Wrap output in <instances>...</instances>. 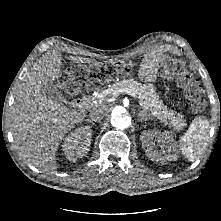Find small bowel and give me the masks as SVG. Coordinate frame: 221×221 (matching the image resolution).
Returning <instances> with one entry per match:
<instances>
[{"instance_id": "c3829d8e", "label": "small bowel", "mask_w": 221, "mask_h": 221, "mask_svg": "<svg viewBox=\"0 0 221 221\" xmlns=\"http://www.w3.org/2000/svg\"><path fill=\"white\" fill-rule=\"evenodd\" d=\"M140 78L147 82L152 83L156 79L155 61L153 59L147 58L143 61L142 66L139 71Z\"/></svg>"}]
</instances>
